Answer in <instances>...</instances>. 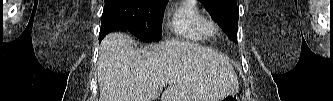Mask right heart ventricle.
Returning <instances> with one entry per match:
<instances>
[{"label": "right heart ventricle", "mask_w": 333, "mask_h": 101, "mask_svg": "<svg viewBox=\"0 0 333 101\" xmlns=\"http://www.w3.org/2000/svg\"><path fill=\"white\" fill-rule=\"evenodd\" d=\"M207 21L208 16L195 0H184L172 12L169 27L182 39L203 42L211 37Z\"/></svg>", "instance_id": "right-heart-ventricle-1"}]
</instances>
